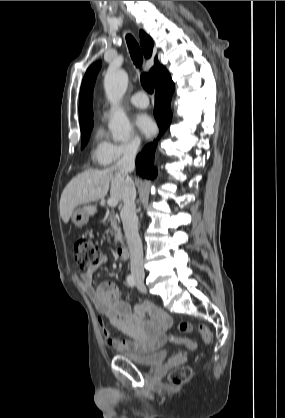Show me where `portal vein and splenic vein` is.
Listing matches in <instances>:
<instances>
[{
	"label": "portal vein and splenic vein",
	"mask_w": 285,
	"mask_h": 418,
	"mask_svg": "<svg viewBox=\"0 0 285 418\" xmlns=\"http://www.w3.org/2000/svg\"><path fill=\"white\" fill-rule=\"evenodd\" d=\"M117 204H118V200H117V199L110 198V199L108 200V205H109L110 207H115V206H117Z\"/></svg>",
	"instance_id": "18ae733b"
}]
</instances>
